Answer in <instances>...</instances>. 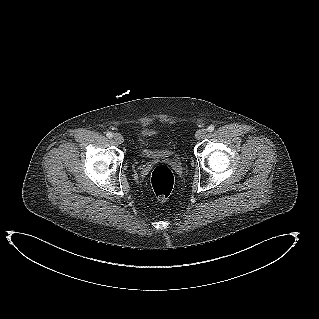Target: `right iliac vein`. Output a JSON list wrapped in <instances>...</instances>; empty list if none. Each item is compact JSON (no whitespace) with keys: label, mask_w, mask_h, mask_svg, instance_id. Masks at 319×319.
<instances>
[{"label":"right iliac vein","mask_w":319,"mask_h":319,"mask_svg":"<svg viewBox=\"0 0 319 319\" xmlns=\"http://www.w3.org/2000/svg\"><path fill=\"white\" fill-rule=\"evenodd\" d=\"M113 137H114V140L119 144L124 142V138L121 134L116 133Z\"/></svg>","instance_id":"obj_1"}]
</instances>
